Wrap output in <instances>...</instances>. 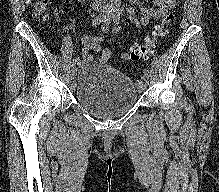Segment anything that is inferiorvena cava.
I'll list each match as a JSON object with an SVG mask.
<instances>
[{"label":"inferior vena cava","instance_id":"inferior-vena-cava-1","mask_svg":"<svg viewBox=\"0 0 219 192\" xmlns=\"http://www.w3.org/2000/svg\"><path fill=\"white\" fill-rule=\"evenodd\" d=\"M98 1V0H97ZM106 0H99V2H105Z\"/></svg>","mask_w":219,"mask_h":192}]
</instances>
